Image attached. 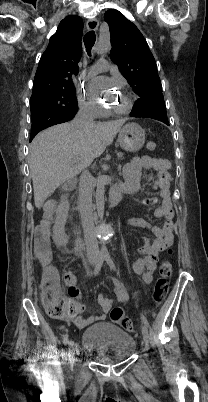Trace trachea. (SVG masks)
Listing matches in <instances>:
<instances>
[{
    "label": "trachea",
    "mask_w": 208,
    "mask_h": 402,
    "mask_svg": "<svg viewBox=\"0 0 208 402\" xmlns=\"http://www.w3.org/2000/svg\"><path fill=\"white\" fill-rule=\"evenodd\" d=\"M95 40H96V35L93 30L86 33L84 36L83 41H84V45L86 47V50H87V53L89 56L91 55V49H92L93 45L95 44Z\"/></svg>",
    "instance_id": "obj_1"
}]
</instances>
